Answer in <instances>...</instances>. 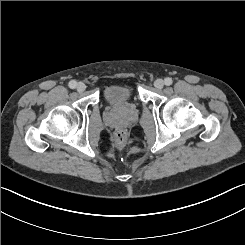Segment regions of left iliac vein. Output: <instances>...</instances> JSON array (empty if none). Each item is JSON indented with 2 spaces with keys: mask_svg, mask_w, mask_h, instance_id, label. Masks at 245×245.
Returning <instances> with one entry per match:
<instances>
[{
  "mask_svg": "<svg viewBox=\"0 0 245 245\" xmlns=\"http://www.w3.org/2000/svg\"><path fill=\"white\" fill-rule=\"evenodd\" d=\"M154 86L157 88V89H162L164 87V82L162 79H157L155 80L154 82Z\"/></svg>",
  "mask_w": 245,
  "mask_h": 245,
  "instance_id": "obj_1",
  "label": "left iliac vein"
}]
</instances>
